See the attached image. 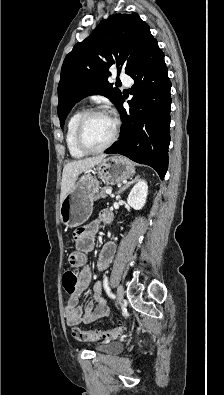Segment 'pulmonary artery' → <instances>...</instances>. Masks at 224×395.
Listing matches in <instances>:
<instances>
[{
	"label": "pulmonary artery",
	"instance_id": "1",
	"mask_svg": "<svg viewBox=\"0 0 224 395\" xmlns=\"http://www.w3.org/2000/svg\"><path fill=\"white\" fill-rule=\"evenodd\" d=\"M120 79L121 81L126 85L129 86L131 83V78L129 75L125 74V73H121L120 74Z\"/></svg>",
	"mask_w": 224,
	"mask_h": 395
}]
</instances>
